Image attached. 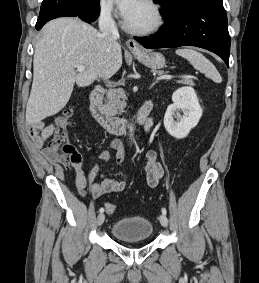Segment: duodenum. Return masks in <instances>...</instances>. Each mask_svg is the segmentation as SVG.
<instances>
[{
	"mask_svg": "<svg viewBox=\"0 0 259 283\" xmlns=\"http://www.w3.org/2000/svg\"><path fill=\"white\" fill-rule=\"evenodd\" d=\"M103 94L104 90L101 87H96L90 94V109L93 116L106 131L113 134H124L130 125V121L111 115L102 103ZM135 121L141 125L149 124L147 106H143L139 110Z\"/></svg>",
	"mask_w": 259,
	"mask_h": 283,
	"instance_id": "obj_1",
	"label": "duodenum"
}]
</instances>
